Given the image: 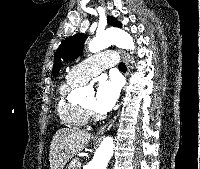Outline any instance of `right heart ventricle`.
<instances>
[{"instance_id":"right-heart-ventricle-1","label":"right heart ventricle","mask_w":200,"mask_h":169,"mask_svg":"<svg viewBox=\"0 0 200 169\" xmlns=\"http://www.w3.org/2000/svg\"><path fill=\"white\" fill-rule=\"evenodd\" d=\"M80 85L66 77L58 89L57 113L62 123L70 128L84 127L89 121L85 108L69 98L71 91Z\"/></svg>"}]
</instances>
